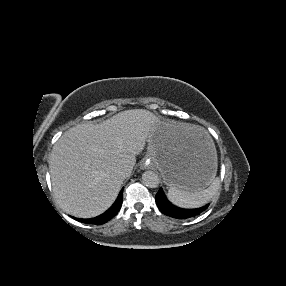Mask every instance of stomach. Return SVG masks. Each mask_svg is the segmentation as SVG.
Returning a JSON list of instances; mask_svg holds the SVG:
<instances>
[{"label": "stomach", "instance_id": "1", "mask_svg": "<svg viewBox=\"0 0 286 286\" xmlns=\"http://www.w3.org/2000/svg\"><path fill=\"white\" fill-rule=\"evenodd\" d=\"M148 157L167 186L189 192L209 186L217 172V152L208 132L186 122L162 120L146 136Z\"/></svg>", "mask_w": 286, "mask_h": 286}]
</instances>
